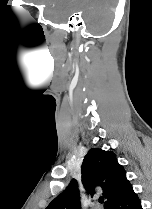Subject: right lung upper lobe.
<instances>
[{"instance_id": "cb5924a9", "label": "right lung upper lobe", "mask_w": 152, "mask_h": 209, "mask_svg": "<svg viewBox=\"0 0 152 209\" xmlns=\"http://www.w3.org/2000/svg\"><path fill=\"white\" fill-rule=\"evenodd\" d=\"M82 183L86 191L95 193V188L103 190L106 198L105 209L114 203L131 184L126 179L124 167L117 161L112 151L93 148L84 157ZM46 209H81L78 183L72 179L63 193L58 195Z\"/></svg>"}]
</instances>
